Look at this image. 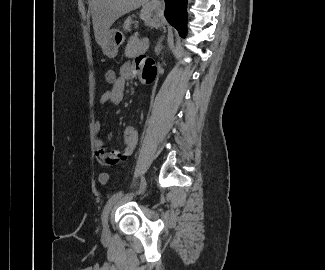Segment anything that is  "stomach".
Returning <instances> with one entry per match:
<instances>
[{
    "instance_id": "1",
    "label": "stomach",
    "mask_w": 325,
    "mask_h": 270,
    "mask_svg": "<svg viewBox=\"0 0 325 270\" xmlns=\"http://www.w3.org/2000/svg\"><path fill=\"white\" fill-rule=\"evenodd\" d=\"M140 18L147 26L159 28L162 25L161 13L152 4L147 3L140 12ZM124 42V35L118 30H109L102 45L104 54L109 58L117 55L118 48Z\"/></svg>"
}]
</instances>
